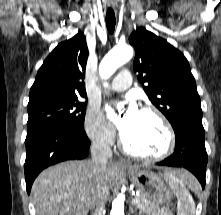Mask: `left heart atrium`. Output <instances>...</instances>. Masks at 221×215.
<instances>
[{
	"instance_id": "obj_1",
	"label": "left heart atrium",
	"mask_w": 221,
	"mask_h": 215,
	"mask_svg": "<svg viewBox=\"0 0 221 215\" xmlns=\"http://www.w3.org/2000/svg\"><path fill=\"white\" fill-rule=\"evenodd\" d=\"M107 113L109 118L116 124L121 135H124L133 126L139 114V110L134 100L130 98L128 107L122 116L117 115L112 107H107Z\"/></svg>"
}]
</instances>
